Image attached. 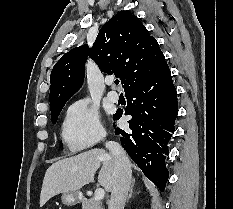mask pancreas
<instances>
[{
  "instance_id": "pancreas-1",
  "label": "pancreas",
  "mask_w": 233,
  "mask_h": 209,
  "mask_svg": "<svg viewBox=\"0 0 233 209\" xmlns=\"http://www.w3.org/2000/svg\"><path fill=\"white\" fill-rule=\"evenodd\" d=\"M82 209H104L100 201L94 198H83L82 199Z\"/></svg>"
}]
</instances>
